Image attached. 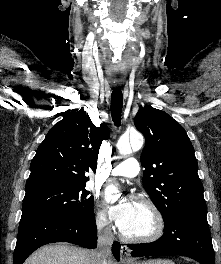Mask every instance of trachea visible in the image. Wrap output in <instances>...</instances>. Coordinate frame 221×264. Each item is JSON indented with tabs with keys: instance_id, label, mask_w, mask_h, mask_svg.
Segmentation results:
<instances>
[{
	"instance_id": "1",
	"label": "trachea",
	"mask_w": 221,
	"mask_h": 264,
	"mask_svg": "<svg viewBox=\"0 0 221 264\" xmlns=\"http://www.w3.org/2000/svg\"><path fill=\"white\" fill-rule=\"evenodd\" d=\"M123 106V94L120 88H114L111 95V116L115 126L121 124V112Z\"/></svg>"
}]
</instances>
